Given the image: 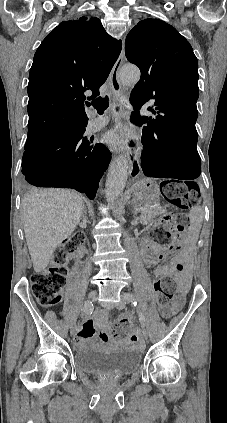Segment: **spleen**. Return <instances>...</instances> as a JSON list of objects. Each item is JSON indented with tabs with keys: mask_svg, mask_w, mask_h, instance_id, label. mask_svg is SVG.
Returning <instances> with one entry per match:
<instances>
[{
	"mask_svg": "<svg viewBox=\"0 0 227 423\" xmlns=\"http://www.w3.org/2000/svg\"><path fill=\"white\" fill-rule=\"evenodd\" d=\"M190 221L192 225H198L201 227L202 225V210L201 208H192L189 213Z\"/></svg>",
	"mask_w": 227,
	"mask_h": 423,
	"instance_id": "1",
	"label": "spleen"
}]
</instances>
